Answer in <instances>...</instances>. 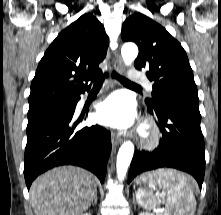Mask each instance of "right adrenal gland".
<instances>
[{
  "label": "right adrenal gland",
  "instance_id": "right-adrenal-gland-1",
  "mask_svg": "<svg viewBox=\"0 0 221 215\" xmlns=\"http://www.w3.org/2000/svg\"><path fill=\"white\" fill-rule=\"evenodd\" d=\"M97 200H98V198H97V191H96L95 194H94V198H93L92 204H97Z\"/></svg>",
  "mask_w": 221,
  "mask_h": 215
}]
</instances>
